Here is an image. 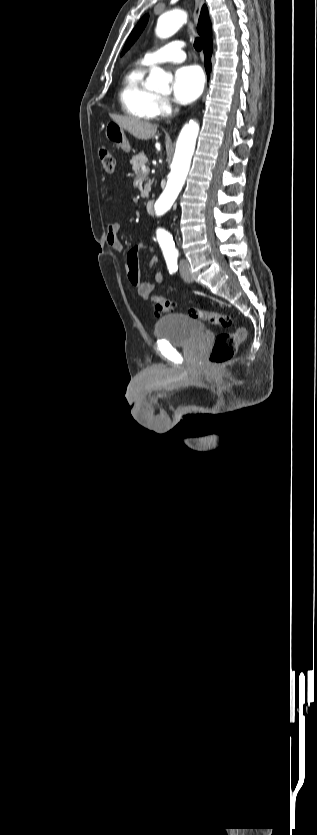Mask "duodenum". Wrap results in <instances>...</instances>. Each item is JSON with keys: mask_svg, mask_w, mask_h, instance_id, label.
<instances>
[{"mask_svg": "<svg viewBox=\"0 0 317 835\" xmlns=\"http://www.w3.org/2000/svg\"><path fill=\"white\" fill-rule=\"evenodd\" d=\"M146 211H147L148 213H150V214H151V213H153V211H154V201L149 200V201L146 203Z\"/></svg>", "mask_w": 317, "mask_h": 835, "instance_id": "410a0bca", "label": "duodenum"}]
</instances>
